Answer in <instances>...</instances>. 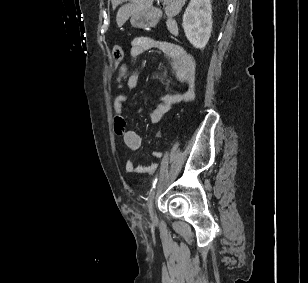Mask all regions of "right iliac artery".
Instances as JSON below:
<instances>
[{
  "label": "right iliac artery",
  "mask_w": 308,
  "mask_h": 283,
  "mask_svg": "<svg viewBox=\"0 0 308 283\" xmlns=\"http://www.w3.org/2000/svg\"><path fill=\"white\" fill-rule=\"evenodd\" d=\"M156 182H157V177H155L154 180H153V182H152V185H153L152 189L155 188ZM152 189H151V191H152Z\"/></svg>",
  "instance_id": "obj_1"
}]
</instances>
